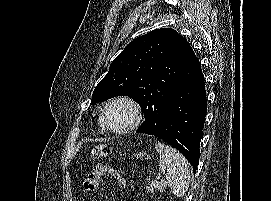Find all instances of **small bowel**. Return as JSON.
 Segmentation results:
<instances>
[{"label": "small bowel", "instance_id": "obj_1", "mask_svg": "<svg viewBox=\"0 0 271 201\" xmlns=\"http://www.w3.org/2000/svg\"><path fill=\"white\" fill-rule=\"evenodd\" d=\"M106 178L112 179L119 190L126 188V180L122 173L112 166L103 164L95 166L90 171L84 181V188L88 191H93L97 189L100 183Z\"/></svg>", "mask_w": 271, "mask_h": 201}]
</instances>
